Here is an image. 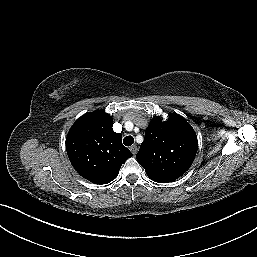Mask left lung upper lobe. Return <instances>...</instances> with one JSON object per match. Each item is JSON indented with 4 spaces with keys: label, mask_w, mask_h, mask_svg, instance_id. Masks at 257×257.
Instances as JSON below:
<instances>
[{
    "label": "left lung upper lobe",
    "mask_w": 257,
    "mask_h": 257,
    "mask_svg": "<svg viewBox=\"0 0 257 257\" xmlns=\"http://www.w3.org/2000/svg\"><path fill=\"white\" fill-rule=\"evenodd\" d=\"M197 147L192 126L180 115L171 114L165 122L159 117L151 121L136 159L151 180L168 183L190 168Z\"/></svg>",
    "instance_id": "1"
}]
</instances>
